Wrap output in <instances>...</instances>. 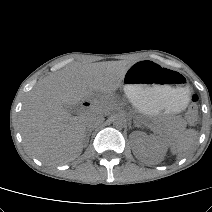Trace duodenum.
<instances>
[{"instance_id": "duodenum-1", "label": "duodenum", "mask_w": 212, "mask_h": 212, "mask_svg": "<svg viewBox=\"0 0 212 212\" xmlns=\"http://www.w3.org/2000/svg\"><path fill=\"white\" fill-rule=\"evenodd\" d=\"M81 106L83 110L88 111L92 107V103L90 101H83Z\"/></svg>"}]
</instances>
